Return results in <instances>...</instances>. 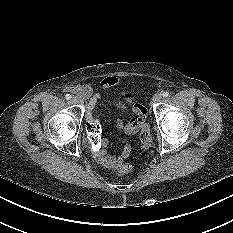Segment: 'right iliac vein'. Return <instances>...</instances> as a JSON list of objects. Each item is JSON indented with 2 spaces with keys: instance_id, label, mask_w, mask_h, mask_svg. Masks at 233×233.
I'll return each mask as SVG.
<instances>
[{
  "instance_id": "63e3f726",
  "label": "right iliac vein",
  "mask_w": 233,
  "mask_h": 233,
  "mask_svg": "<svg viewBox=\"0 0 233 233\" xmlns=\"http://www.w3.org/2000/svg\"><path fill=\"white\" fill-rule=\"evenodd\" d=\"M72 102L76 103V104H81L82 103V99L80 97H78V96H74L72 98Z\"/></svg>"
}]
</instances>
